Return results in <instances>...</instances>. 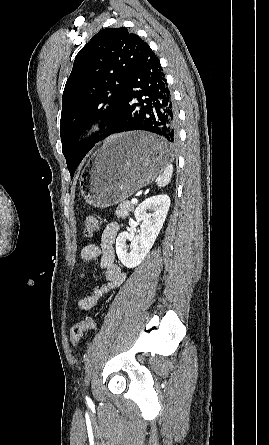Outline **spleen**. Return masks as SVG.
<instances>
[{
	"instance_id": "spleen-1",
	"label": "spleen",
	"mask_w": 269,
	"mask_h": 445,
	"mask_svg": "<svg viewBox=\"0 0 269 445\" xmlns=\"http://www.w3.org/2000/svg\"><path fill=\"white\" fill-rule=\"evenodd\" d=\"M172 173H173V166H172V164H168L165 167L163 173L157 178V180H156L157 185L159 187H164L167 184H169L171 177H172Z\"/></svg>"
}]
</instances>
